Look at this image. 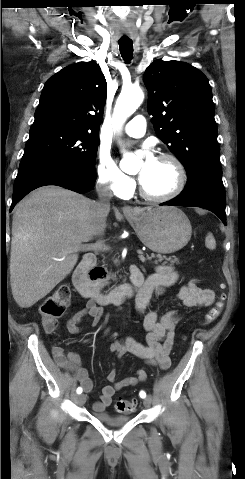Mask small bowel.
I'll use <instances>...</instances> for the list:
<instances>
[{"label": "small bowel", "mask_w": 245, "mask_h": 479, "mask_svg": "<svg viewBox=\"0 0 245 479\" xmlns=\"http://www.w3.org/2000/svg\"><path fill=\"white\" fill-rule=\"evenodd\" d=\"M138 269L132 267L131 270ZM139 270V269H138ZM177 272L169 266H158L153 273L144 279V287L136 299V310L144 314L143 325L147 332L146 344L137 342L132 338H125L113 342L109 349L118 359L127 353L142 358L146 363L167 370L171 366L170 353L174 346L176 328L181 321V316L174 310L159 316L156 311L146 312L149 300L153 293L160 294L177 281ZM176 299L187 308H197L210 305L214 299V292L197 284L195 280L182 286ZM102 309L93 299H89L85 307L72 314L66 321V328L70 334H79L82 323L89 319V324L95 327L101 318ZM52 356L59 368L75 375L85 392L92 390L93 384L88 372L82 367L79 355L76 352L64 353L61 347H53ZM111 384L102 389L99 401L93 404L96 413H103L112 403L116 391L124 387L136 386L147 379L145 369H138L133 376L118 380L115 369L108 376Z\"/></svg>", "instance_id": "obj_1"}]
</instances>
